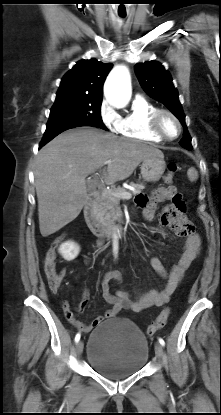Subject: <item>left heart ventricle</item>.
Returning a JSON list of instances; mask_svg holds the SVG:
<instances>
[{"mask_svg": "<svg viewBox=\"0 0 221 415\" xmlns=\"http://www.w3.org/2000/svg\"><path fill=\"white\" fill-rule=\"evenodd\" d=\"M162 128L164 132L169 136H175L177 134V124L169 116H163L162 118Z\"/></svg>", "mask_w": 221, "mask_h": 415, "instance_id": "1", "label": "left heart ventricle"}]
</instances>
